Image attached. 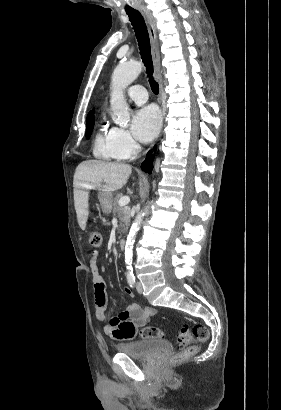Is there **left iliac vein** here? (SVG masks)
Masks as SVG:
<instances>
[{"mask_svg":"<svg viewBox=\"0 0 281 410\" xmlns=\"http://www.w3.org/2000/svg\"><path fill=\"white\" fill-rule=\"evenodd\" d=\"M136 289H137V291H138L139 293H142L143 288H142V284H141L140 281L137 282V284H136Z\"/></svg>","mask_w":281,"mask_h":410,"instance_id":"left-iliac-vein-1","label":"left iliac vein"}]
</instances>
